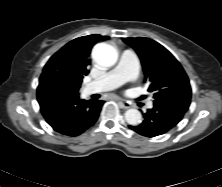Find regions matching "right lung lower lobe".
I'll return each instance as SVG.
<instances>
[{"instance_id":"98d812e1","label":"right lung lower lobe","mask_w":222,"mask_h":187,"mask_svg":"<svg viewBox=\"0 0 222 187\" xmlns=\"http://www.w3.org/2000/svg\"><path fill=\"white\" fill-rule=\"evenodd\" d=\"M37 100L47 123L57 132L78 136L97 120L104 101L84 100L71 91L58 74L41 75Z\"/></svg>"}]
</instances>
